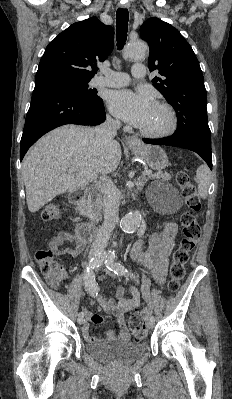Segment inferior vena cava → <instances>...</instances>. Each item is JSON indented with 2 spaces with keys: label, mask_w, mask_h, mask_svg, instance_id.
<instances>
[{
  "label": "inferior vena cava",
  "mask_w": 232,
  "mask_h": 399,
  "mask_svg": "<svg viewBox=\"0 0 232 399\" xmlns=\"http://www.w3.org/2000/svg\"><path fill=\"white\" fill-rule=\"evenodd\" d=\"M121 122L119 120H112L110 116H106L104 124L98 126L95 130V136L101 140L102 144H113L115 136H117V130H119ZM102 182V194H103V213L104 221L100 227V235H97V241H93L91 247H89V258L92 259L95 252L104 250L107 248L109 241V233L114 229L118 221V209L119 201L115 196V186L107 178L105 174L100 176Z\"/></svg>",
  "instance_id": "obj_1"
}]
</instances>
